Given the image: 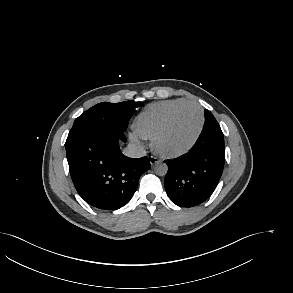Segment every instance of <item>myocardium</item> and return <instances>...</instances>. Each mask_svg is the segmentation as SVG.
<instances>
[{"label":"myocardium","instance_id":"1","mask_svg":"<svg viewBox=\"0 0 293 293\" xmlns=\"http://www.w3.org/2000/svg\"><path fill=\"white\" fill-rule=\"evenodd\" d=\"M186 107H195L199 110L200 116H201V121H200V126L198 128V131L196 132L195 136L191 140V142L186 145L184 148L176 151H166L162 149L159 145L160 138L162 135L166 132V130L169 128L170 124L172 123L173 119L175 116L184 108ZM205 126V112L203 108L197 104L196 102H186L182 105H179L175 107L167 116L163 124L159 127V129L155 132V134L152 136V147L155 153H157L159 156L165 157V158H178L181 157L185 154H187L198 142L203 129Z\"/></svg>","mask_w":293,"mask_h":293}]
</instances>
